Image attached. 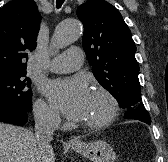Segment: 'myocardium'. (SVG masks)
I'll return each instance as SVG.
<instances>
[{"label": "myocardium", "instance_id": "1", "mask_svg": "<svg viewBox=\"0 0 168 162\" xmlns=\"http://www.w3.org/2000/svg\"><path fill=\"white\" fill-rule=\"evenodd\" d=\"M93 94L103 97L107 102V112L99 120L83 122L82 125L90 130H100L110 125L115 119L118 112V102L115 96L105 88L97 87Z\"/></svg>", "mask_w": 168, "mask_h": 162}]
</instances>
